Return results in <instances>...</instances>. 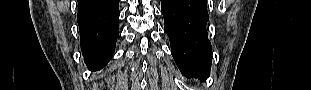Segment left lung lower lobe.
Returning a JSON list of instances; mask_svg holds the SVG:
<instances>
[{"label":"left lung lower lobe","instance_id":"1","mask_svg":"<svg viewBox=\"0 0 311 90\" xmlns=\"http://www.w3.org/2000/svg\"><path fill=\"white\" fill-rule=\"evenodd\" d=\"M164 30L181 73L208 77L212 51L207 37V0H161Z\"/></svg>","mask_w":311,"mask_h":90}]
</instances>
